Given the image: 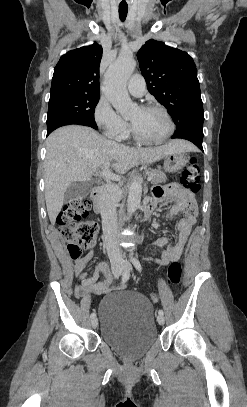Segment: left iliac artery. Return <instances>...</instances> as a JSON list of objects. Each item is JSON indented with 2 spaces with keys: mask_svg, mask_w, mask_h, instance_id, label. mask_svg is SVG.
<instances>
[{
  "mask_svg": "<svg viewBox=\"0 0 247 407\" xmlns=\"http://www.w3.org/2000/svg\"><path fill=\"white\" fill-rule=\"evenodd\" d=\"M132 263H133L134 267H135L138 271L141 272L142 268H141V264H140L139 260H138L137 258H135V257H132ZM158 314H159V315H164L163 310L160 309V310L158 311Z\"/></svg>",
  "mask_w": 247,
  "mask_h": 407,
  "instance_id": "1",
  "label": "left iliac artery"
}]
</instances>
